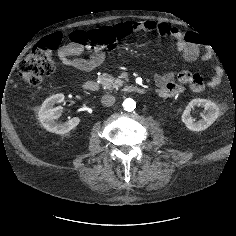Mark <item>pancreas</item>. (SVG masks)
I'll return each instance as SVG.
<instances>
[{"label":"pancreas","instance_id":"cf45deb5","mask_svg":"<svg viewBox=\"0 0 236 236\" xmlns=\"http://www.w3.org/2000/svg\"><path fill=\"white\" fill-rule=\"evenodd\" d=\"M100 82L106 89L118 88L124 84V81L118 78H114L107 73L102 74V76L100 77Z\"/></svg>","mask_w":236,"mask_h":236}]
</instances>
